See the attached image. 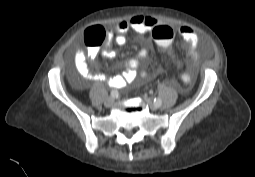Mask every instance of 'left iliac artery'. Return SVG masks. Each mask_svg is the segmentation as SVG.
Listing matches in <instances>:
<instances>
[{"label":"left iliac artery","instance_id":"44dca946","mask_svg":"<svg viewBox=\"0 0 255 177\" xmlns=\"http://www.w3.org/2000/svg\"><path fill=\"white\" fill-rule=\"evenodd\" d=\"M154 104L157 106V107H160L161 104H162V100L161 98H155L154 100Z\"/></svg>","mask_w":255,"mask_h":177}]
</instances>
